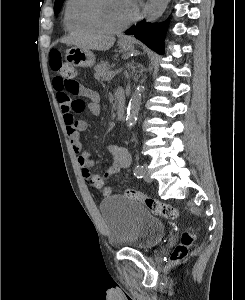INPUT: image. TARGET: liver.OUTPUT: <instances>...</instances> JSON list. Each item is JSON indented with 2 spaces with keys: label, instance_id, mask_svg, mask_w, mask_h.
<instances>
[{
  "label": "liver",
  "instance_id": "obj_1",
  "mask_svg": "<svg viewBox=\"0 0 245 300\" xmlns=\"http://www.w3.org/2000/svg\"><path fill=\"white\" fill-rule=\"evenodd\" d=\"M62 42L67 44H73L76 47L83 49L106 51L113 46L115 38L102 35H89L81 37L70 36L63 39Z\"/></svg>",
  "mask_w": 245,
  "mask_h": 300
}]
</instances>
